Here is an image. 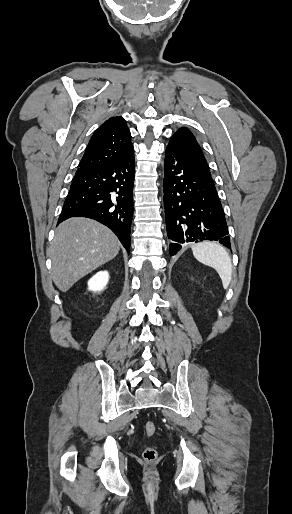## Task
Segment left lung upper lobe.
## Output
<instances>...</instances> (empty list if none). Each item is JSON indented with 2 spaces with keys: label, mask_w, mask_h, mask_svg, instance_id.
Returning a JSON list of instances; mask_svg holds the SVG:
<instances>
[{
  "label": "left lung upper lobe",
  "mask_w": 292,
  "mask_h": 514,
  "mask_svg": "<svg viewBox=\"0 0 292 514\" xmlns=\"http://www.w3.org/2000/svg\"><path fill=\"white\" fill-rule=\"evenodd\" d=\"M169 144L179 146L184 149L194 160L195 164L211 174L203 151L197 142L196 137L188 128H179L170 138Z\"/></svg>",
  "instance_id": "5c2ea615"
}]
</instances>
